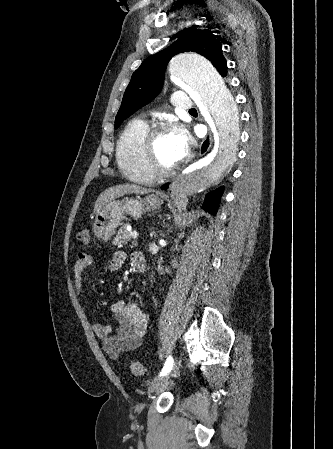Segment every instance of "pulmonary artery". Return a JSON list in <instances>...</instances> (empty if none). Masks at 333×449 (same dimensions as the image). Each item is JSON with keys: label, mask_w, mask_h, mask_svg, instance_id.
I'll list each match as a JSON object with an SVG mask.
<instances>
[{"label": "pulmonary artery", "mask_w": 333, "mask_h": 449, "mask_svg": "<svg viewBox=\"0 0 333 449\" xmlns=\"http://www.w3.org/2000/svg\"><path fill=\"white\" fill-rule=\"evenodd\" d=\"M173 103L176 107L184 110H190L193 107V102L189 94L185 91H177L173 94Z\"/></svg>", "instance_id": "obj_1"}]
</instances>
